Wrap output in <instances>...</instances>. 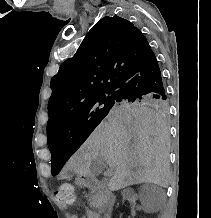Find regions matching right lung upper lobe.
Returning a JSON list of instances; mask_svg holds the SVG:
<instances>
[{
  "instance_id": "obj_1",
  "label": "right lung upper lobe",
  "mask_w": 211,
  "mask_h": 218,
  "mask_svg": "<svg viewBox=\"0 0 211 218\" xmlns=\"http://www.w3.org/2000/svg\"><path fill=\"white\" fill-rule=\"evenodd\" d=\"M151 51L144 35L131 22L119 16L102 18L51 79L47 128L68 111L113 90L126 72Z\"/></svg>"
}]
</instances>
